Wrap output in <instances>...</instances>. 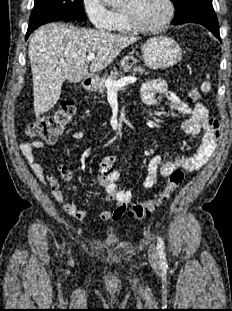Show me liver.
<instances>
[{
  "label": "liver",
  "mask_w": 232,
  "mask_h": 311,
  "mask_svg": "<svg viewBox=\"0 0 232 311\" xmlns=\"http://www.w3.org/2000/svg\"><path fill=\"white\" fill-rule=\"evenodd\" d=\"M138 39L101 30L77 29L59 23L39 28L33 34L28 48L35 115L47 112L57 103L65 80L77 83L88 76L89 53L97 51L89 69L92 73L98 72Z\"/></svg>",
  "instance_id": "1"
}]
</instances>
